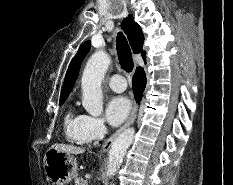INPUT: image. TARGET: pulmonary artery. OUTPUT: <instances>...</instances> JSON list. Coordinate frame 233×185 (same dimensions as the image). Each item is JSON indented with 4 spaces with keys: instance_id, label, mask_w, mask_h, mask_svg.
Masks as SVG:
<instances>
[{
    "instance_id": "1",
    "label": "pulmonary artery",
    "mask_w": 233,
    "mask_h": 185,
    "mask_svg": "<svg viewBox=\"0 0 233 185\" xmlns=\"http://www.w3.org/2000/svg\"><path fill=\"white\" fill-rule=\"evenodd\" d=\"M108 85L115 92H123L126 89V81L121 75H113L108 79Z\"/></svg>"
}]
</instances>
